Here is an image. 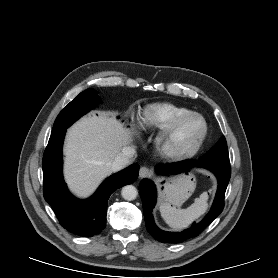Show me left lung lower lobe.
Here are the masks:
<instances>
[{
  "label": "left lung lower lobe",
  "instance_id": "left-lung-lower-lobe-1",
  "mask_svg": "<svg viewBox=\"0 0 278 278\" xmlns=\"http://www.w3.org/2000/svg\"><path fill=\"white\" fill-rule=\"evenodd\" d=\"M193 166L204 167L210 170L218 180V189L210 212L202 221L197 224L194 223L193 226L182 232H167L156 226L151 213L156 204L157 194L155 185L148 179H143L139 185V193L142 199L146 228L148 232L160 242L180 243L189 238L198 236L217 216H219L224 208L225 192L231 176L230 168L207 165L199 160L196 162L193 159H187L171 164H159L156 166V172L159 174L178 173L182 171L187 172Z\"/></svg>",
  "mask_w": 278,
  "mask_h": 278
}]
</instances>
